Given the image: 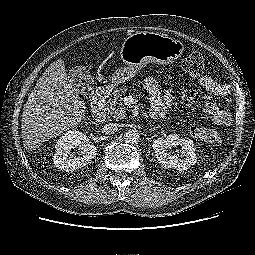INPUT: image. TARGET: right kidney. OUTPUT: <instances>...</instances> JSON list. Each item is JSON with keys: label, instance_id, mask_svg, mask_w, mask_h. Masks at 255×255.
<instances>
[{"label": "right kidney", "instance_id": "obj_1", "mask_svg": "<svg viewBox=\"0 0 255 255\" xmlns=\"http://www.w3.org/2000/svg\"><path fill=\"white\" fill-rule=\"evenodd\" d=\"M79 147L81 157L70 159L72 149ZM56 153L53 156L55 166L66 172H71L88 165L94 159L97 148L90 144L89 138L80 131L69 130L55 144Z\"/></svg>", "mask_w": 255, "mask_h": 255}]
</instances>
